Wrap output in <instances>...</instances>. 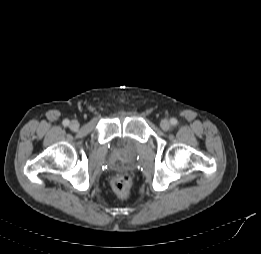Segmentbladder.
Segmentation results:
<instances>
[{"label":"bladder","instance_id":"1","mask_svg":"<svg viewBox=\"0 0 261 254\" xmlns=\"http://www.w3.org/2000/svg\"><path fill=\"white\" fill-rule=\"evenodd\" d=\"M116 155L120 160L130 161L136 155V147L133 143L124 141L116 147Z\"/></svg>","mask_w":261,"mask_h":254}]
</instances>
